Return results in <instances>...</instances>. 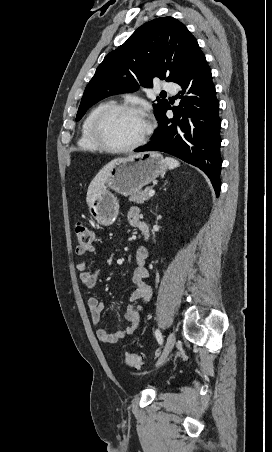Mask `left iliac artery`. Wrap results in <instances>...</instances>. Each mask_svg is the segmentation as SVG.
Returning <instances> with one entry per match:
<instances>
[{
    "label": "left iliac artery",
    "mask_w": 272,
    "mask_h": 452,
    "mask_svg": "<svg viewBox=\"0 0 272 452\" xmlns=\"http://www.w3.org/2000/svg\"><path fill=\"white\" fill-rule=\"evenodd\" d=\"M155 336H156V339L158 340L159 344H162V342H163L162 335L158 329L155 331Z\"/></svg>",
    "instance_id": "obj_1"
}]
</instances>
